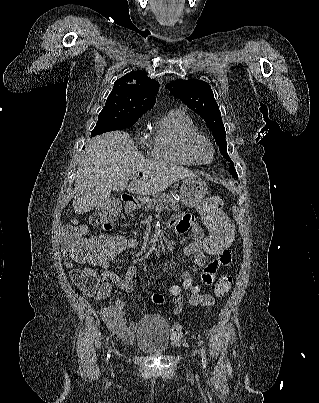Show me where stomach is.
Instances as JSON below:
<instances>
[{
    "instance_id": "0dacf381",
    "label": "stomach",
    "mask_w": 319,
    "mask_h": 403,
    "mask_svg": "<svg viewBox=\"0 0 319 403\" xmlns=\"http://www.w3.org/2000/svg\"><path fill=\"white\" fill-rule=\"evenodd\" d=\"M206 193V183L198 177H187L180 187L181 201L187 207L199 204Z\"/></svg>"
}]
</instances>
